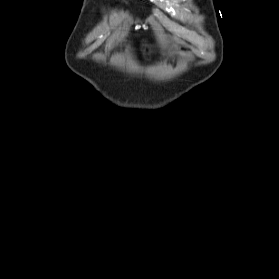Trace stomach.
<instances>
[{
	"label": "stomach",
	"mask_w": 279,
	"mask_h": 279,
	"mask_svg": "<svg viewBox=\"0 0 279 279\" xmlns=\"http://www.w3.org/2000/svg\"><path fill=\"white\" fill-rule=\"evenodd\" d=\"M139 38H142V35H139ZM147 38H150V35H147ZM140 44H150V39H140ZM134 43H137V40H134Z\"/></svg>",
	"instance_id": "0dacf381"
}]
</instances>
